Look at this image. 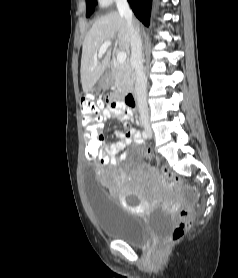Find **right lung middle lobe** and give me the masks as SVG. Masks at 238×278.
<instances>
[{"mask_svg": "<svg viewBox=\"0 0 238 278\" xmlns=\"http://www.w3.org/2000/svg\"><path fill=\"white\" fill-rule=\"evenodd\" d=\"M96 0H87L86 6H87V10H86V16L89 17L93 11H94V6H95V2Z\"/></svg>", "mask_w": 238, "mask_h": 278, "instance_id": "dd1d6c3e", "label": "right lung middle lobe"}]
</instances>
